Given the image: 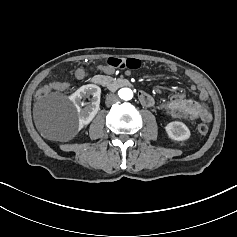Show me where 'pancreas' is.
I'll return each instance as SVG.
<instances>
[{"label":"pancreas","mask_w":237,"mask_h":237,"mask_svg":"<svg viewBox=\"0 0 237 237\" xmlns=\"http://www.w3.org/2000/svg\"><path fill=\"white\" fill-rule=\"evenodd\" d=\"M118 82H119V80H112V81L109 83V86H111V87H113V88H118V87H119Z\"/></svg>","instance_id":"pancreas-1"}]
</instances>
